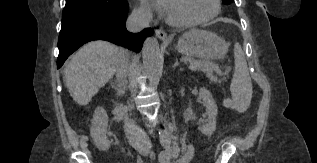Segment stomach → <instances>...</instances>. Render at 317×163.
Segmentation results:
<instances>
[{
	"label": "stomach",
	"instance_id": "stomach-1",
	"mask_svg": "<svg viewBox=\"0 0 317 163\" xmlns=\"http://www.w3.org/2000/svg\"><path fill=\"white\" fill-rule=\"evenodd\" d=\"M175 48L187 56L213 60L224 57L228 44L213 32L193 29L178 39Z\"/></svg>",
	"mask_w": 317,
	"mask_h": 163
}]
</instances>
